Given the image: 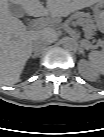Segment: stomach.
<instances>
[{
  "mask_svg": "<svg viewBox=\"0 0 104 137\" xmlns=\"http://www.w3.org/2000/svg\"><path fill=\"white\" fill-rule=\"evenodd\" d=\"M103 13V10H102V3L99 2L96 4V6L94 7V14H95V17L97 16H100L102 15ZM88 44V43H87Z\"/></svg>",
  "mask_w": 104,
  "mask_h": 137,
  "instance_id": "stomach-1",
  "label": "stomach"
}]
</instances>
